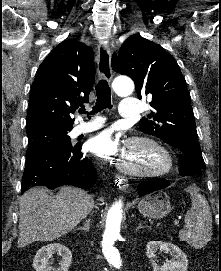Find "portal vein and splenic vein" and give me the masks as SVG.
Wrapping results in <instances>:
<instances>
[{
    "mask_svg": "<svg viewBox=\"0 0 221 271\" xmlns=\"http://www.w3.org/2000/svg\"><path fill=\"white\" fill-rule=\"evenodd\" d=\"M174 223L177 225V223H179L178 219H175Z\"/></svg>",
    "mask_w": 221,
    "mask_h": 271,
    "instance_id": "portal-vein-and-splenic-vein-1",
    "label": "portal vein and splenic vein"
}]
</instances>
